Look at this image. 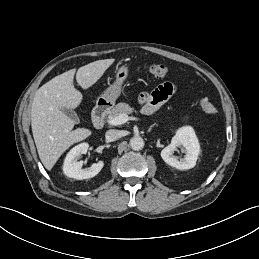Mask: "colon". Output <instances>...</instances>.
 Masks as SVG:
<instances>
[{
	"mask_svg": "<svg viewBox=\"0 0 259 259\" xmlns=\"http://www.w3.org/2000/svg\"><path fill=\"white\" fill-rule=\"evenodd\" d=\"M168 69L163 64H153L149 67V73L154 77L166 76ZM198 105L207 114H216L217 108L206 98L198 99Z\"/></svg>",
	"mask_w": 259,
	"mask_h": 259,
	"instance_id": "obj_1",
	"label": "colon"
}]
</instances>
